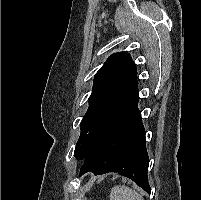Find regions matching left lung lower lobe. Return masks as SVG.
<instances>
[{
    "mask_svg": "<svg viewBox=\"0 0 201 200\" xmlns=\"http://www.w3.org/2000/svg\"><path fill=\"white\" fill-rule=\"evenodd\" d=\"M137 87L107 116L89 143L80 175L117 172L132 179L150 193L149 158L145 147V130L137 108Z\"/></svg>",
    "mask_w": 201,
    "mask_h": 200,
    "instance_id": "0a47b994",
    "label": "left lung lower lobe"
}]
</instances>
